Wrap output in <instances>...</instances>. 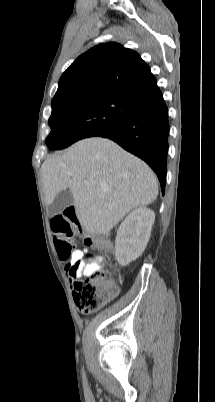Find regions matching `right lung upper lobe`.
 Listing matches in <instances>:
<instances>
[{"instance_id":"cb5924a9","label":"right lung upper lobe","mask_w":215,"mask_h":402,"mask_svg":"<svg viewBox=\"0 0 215 402\" xmlns=\"http://www.w3.org/2000/svg\"><path fill=\"white\" fill-rule=\"evenodd\" d=\"M96 93L118 95L138 103L161 93L140 55L118 43L97 45L63 73L53 100Z\"/></svg>"}]
</instances>
